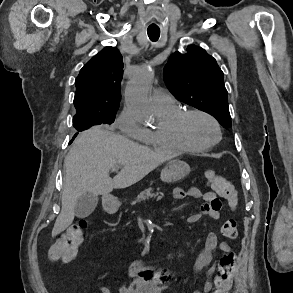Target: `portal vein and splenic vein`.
<instances>
[{
	"instance_id": "portal-vein-and-splenic-vein-1",
	"label": "portal vein and splenic vein",
	"mask_w": 293,
	"mask_h": 293,
	"mask_svg": "<svg viewBox=\"0 0 293 293\" xmlns=\"http://www.w3.org/2000/svg\"><path fill=\"white\" fill-rule=\"evenodd\" d=\"M119 168H120L119 166L113 167V168H112V171H118Z\"/></svg>"
}]
</instances>
